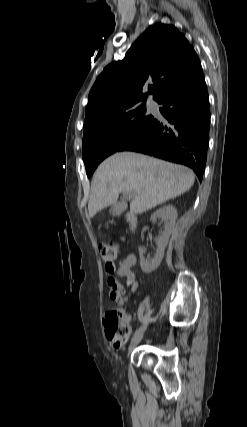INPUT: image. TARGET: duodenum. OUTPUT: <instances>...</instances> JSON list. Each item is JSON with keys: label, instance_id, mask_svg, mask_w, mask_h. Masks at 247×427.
<instances>
[{"label": "duodenum", "instance_id": "duodenum-1", "mask_svg": "<svg viewBox=\"0 0 247 427\" xmlns=\"http://www.w3.org/2000/svg\"><path fill=\"white\" fill-rule=\"evenodd\" d=\"M127 221L129 223L130 229L134 230L135 227H136V225H137V217H136V215L133 214V213H129L127 215Z\"/></svg>", "mask_w": 247, "mask_h": 427}]
</instances>
